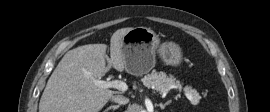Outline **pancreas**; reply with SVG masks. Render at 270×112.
Masks as SVG:
<instances>
[{
  "mask_svg": "<svg viewBox=\"0 0 270 112\" xmlns=\"http://www.w3.org/2000/svg\"><path fill=\"white\" fill-rule=\"evenodd\" d=\"M141 81L146 87L153 88L160 93L169 92L172 88L181 86L179 81H177L173 76H167L163 72L158 73L153 71L151 74L144 76ZM185 89L193 97L191 103L194 105L198 104L201 97L197 91L190 87H186Z\"/></svg>",
  "mask_w": 270,
  "mask_h": 112,
  "instance_id": "obj_1",
  "label": "pancreas"
}]
</instances>
